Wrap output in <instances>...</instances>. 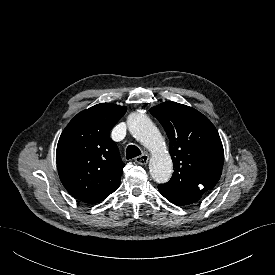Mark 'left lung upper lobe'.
<instances>
[{"mask_svg":"<svg viewBox=\"0 0 275 275\" xmlns=\"http://www.w3.org/2000/svg\"><path fill=\"white\" fill-rule=\"evenodd\" d=\"M170 140L174 173L158 189L173 201L199 199L220 179L224 151L219 134L202 113L176 102H164L150 109Z\"/></svg>","mask_w":275,"mask_h":275,"instance_id":"left-lung-upper-lobe-1","label":"left lung upper lobe"}]
</instances>
